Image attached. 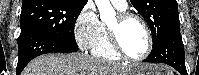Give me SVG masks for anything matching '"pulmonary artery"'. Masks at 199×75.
<instances>
[{"instance_id": "obj_1", "label": "pulmonary artery", "mask_w": 199, "mask_h": 75, "mask_svg": "<svg viewBox=\"0 0 199 75\" xmlns=\"http://www.w3.org/2000/svg\"><path fill=\"white\" fill-rule=\"evenodd\" d=\"M111 3L119 10H125L127 8V1L125 0H112Z\"/></svg>"}]
</instances>
